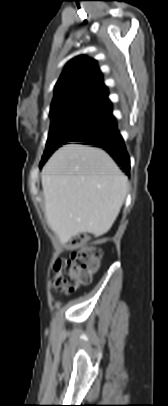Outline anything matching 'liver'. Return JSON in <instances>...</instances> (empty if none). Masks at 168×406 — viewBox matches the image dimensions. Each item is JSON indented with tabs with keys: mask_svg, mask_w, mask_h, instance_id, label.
<instances>
[{
	"mask_svg": "<svg viewBox=\"0 0 168 406\" xmlns=\"http://www.w3.org/2000/svg\"><path fill=\"white\" fill-rule=\"evenodd\" d=\"M41 180L47 224L62 244L80 233H107L127 194V178L112 158L79 144L58 149Z\"/></svg>",
	"mask_w": 168,
	"mask_h": 406,
	"instance_id": "obj_1",
	"label": "liver"
}]
</instances>
